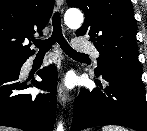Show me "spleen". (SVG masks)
Segmentation results:
<instances>
[{"instance_id": "spleen-1", "label": "spleen", "mask_w": 147, "mask_h": 131, "mask_svg": "<svg viewBox=\"0 0 147 131\" xmlns=\"http://www.w3.org/2000/svg\"><path fill=\"white\" fill-rule=\"evenodd\" d=\"M102 131H127V130L121 126L109 125L102 127Z\"/></svg>"}]
</instances>
